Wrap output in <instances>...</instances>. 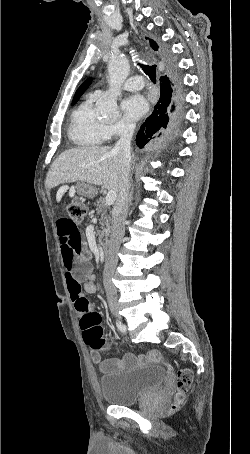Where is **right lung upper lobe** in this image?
Returning <instances> with one entry per match:
<instances>
[{
	"mask_svg": "<svg viewBox=\"0 0 250 454\" xmlns=\"http://www.w3.org/2000/svg\"><path fill=\"white\" fill-rule=\"evenodd\" d=\"M150 46H151L152 49L155 50V51H157L158 48H159L158 45L156 44V42H154L153 40H150ZM163 58H165V59L167 60L166 56H164V55H163ZM167 65H168L169 68H171L172 65H173L172 61H171V60H170V61L168 60Z\"/></svg>",
	"mask_w": 250,
	"mask_h": 454,
	"instance_id": "cb5924a9",
	"label": "right lung upper lobe"
}]
</instances>
